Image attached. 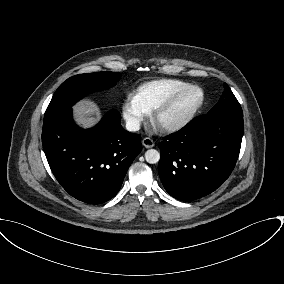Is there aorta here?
<instances>
[{"mask_svg":"<svg viewBox=\"0 0 284 284\" xmlns=\"http://www.w3.org/2000/svg\"><path fill=\"white\" fill-rule=\"evenodd\" d=\"M145 159L150 164H156L160 160V153L156 149H149L145 152Z\"/></svg>","mask_w":284,"mask_h":284,"instance_id":"1","label":"aorta"}]
</instances>
